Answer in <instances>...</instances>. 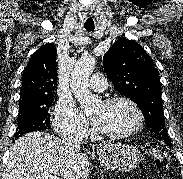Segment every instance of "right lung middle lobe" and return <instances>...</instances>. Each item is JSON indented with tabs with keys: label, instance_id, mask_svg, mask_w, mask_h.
Wrapping results in <instances>:
<instances>
[{
	"label": "right lung middle lobe",
	"instance_id": "dd1d6c3e",
	"mask_svg": "<svg viewBox=\"0 0 183 179\" xmlns=\"http://www.w3.org/2000/svg\"><path fill=\"white\" fill-rule=\"evenodd\" d=\"M53 96L19 101L18 123L15 139L21 135L50 128L49 107Z\"/></svg>",
	"mask_w": 183,
	"mask_h": 179
}]
</instances>
